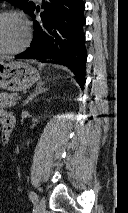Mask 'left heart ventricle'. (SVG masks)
Segmentation results:
<instances>
[{
  "instance_id": "1",
  "label": "left heart ventricle",
  "mask_w": 128,
  "mask_h": 213,
  "mask_svg": "<svg viewBox=\"0 0 128 213\" xmlns=\"http://www.w3.org/2000/svg\"><path fill=\"white\" fill-rule=\"evenodd\" d=\"M25 29L22 22L11 16L0 18V49L18 47L24 40Z\"/></svg>"
}]
</instances>
